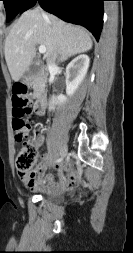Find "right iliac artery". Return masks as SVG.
Here are the masks:
<instances>
[{
	"label": "right iliac artery",
	"instance_id": "82829eb1",
	"mask_svg": "<svg viewBox=\"0 0 133 253\" xmlns=\"http://www.w3.org/2000/svg\"><path fill=\"white\" fill-rule=\"evenodd\" d=\"M60 161H61V159H57V160H56V162H60Z\"/></svg>",
	"mask_w": 133,
	"mask_h": 253
}]
</instances>
